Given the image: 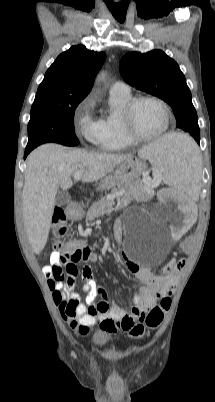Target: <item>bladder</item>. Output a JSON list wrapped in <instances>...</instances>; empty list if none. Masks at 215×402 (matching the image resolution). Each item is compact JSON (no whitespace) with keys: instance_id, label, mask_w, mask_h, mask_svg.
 Returning <instances> with one entry per match:
<instances>
[{"instance_id":"bladder-1","label":"bladder","mask_w":215,"mask_h":402,"mask_svg":"<svg viewBox=\"0 0 215 402\" xmlns=\"http://www.w3.org/2000/svg\"><path fill=\"white\" fill-rule=\"evenodd\" d=\"M111 341V337L106 332H97L92 339L94 345L98 347H104Z\"/></svg>"}]
</instances>
